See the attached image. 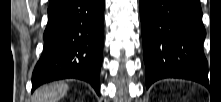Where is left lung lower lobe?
Returning <instances> with one entry per match:
<instances>
[{
	"instance_id": "obj_1",
	"label": "left lung lower lobe",
	"mask_w": 221,
	"mask_h": 102,
	"mask_svg": "<svg viewBox=\"0 0 221 102\" xmlns=\"http://www.w3.org/2000/svg\"><path fill=\"white\" fill-rule=\"evenodd\" d=\"M147 88L163 78L208 85L198 0H140Z\"/></svg>"
}]
</instances>
